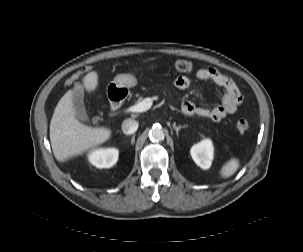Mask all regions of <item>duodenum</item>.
<instances>
[{"label":"duodenum","mask_w":303,"mask_h":252,"mask_svg":"<svg viewBox=\"0 0 303 252\" xmlns=\"http://www.w3.org/2000/svg\"><path fill=\"white\" fill-rule=\"evenodd\" d=\"M126 90L123 87H116L110 93V100H111V111L116 112L119 110L123 99L125 98Z\"/></svg>","instance_id":"1"}]
</instances>
